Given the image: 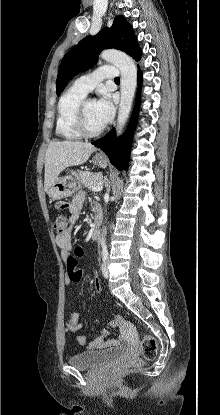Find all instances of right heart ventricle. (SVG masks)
Here are the masks:
<instances>
[{"label": "right heart ventricle", "mask_w": 220, "mask_h": 415, "mask_svg": "<svg viewBox=\"0 0 220 415\" xmlns=\"http://www.w3.org/2000/svg\"><path fill=\"white\" fill-rule=\"evenodd\" d=\"M86 94L76 90L74 87L66 90L60 97L57 104L56 134L67 140L81 139V135L74 127V114L77 106L83 101Z\"/></svg>", "instance_id": "1"}]
</instances>
